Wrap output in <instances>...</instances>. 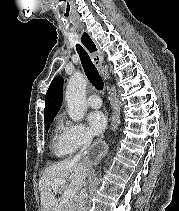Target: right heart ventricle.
I'll return each mask as SVG.
<instances>
[{
    "mask_svg": "<svg viewBox=\"0 0 179 211\" xmlns=\"http://www.w3.org/2000/svg\"><path fill=\"white\" fill-rule=\"evenodd\" d=\"M51 149L57 157H66L73 151L67 145L63 137V125L57 122L54 128L53 137L51 141Z\"/></svg>",
    "mask_w": 179,
    "mask_h": 211,
    "instance_id": "e07e8e85",
    "label": "right heart ventricle"
}]
</instances>
